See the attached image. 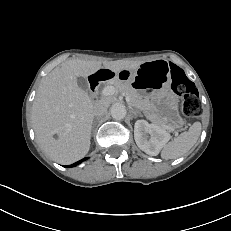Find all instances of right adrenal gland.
<instances>
[{"label":"right adrenal gland","mask_w":231,"mask_h":231,"mask_svg":"<svg viewBox=\"0 0 231 231\" xmlns=\"http://www.w3.org/2000/svg\"><path fill=\"white\" fill-rule=\"evenodd\" d=\"M94 125H95V121L93 122V127L92 128H94Z\"/></svg>","instance_id":"1"}]
</instances>
